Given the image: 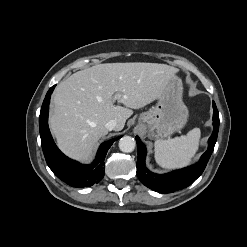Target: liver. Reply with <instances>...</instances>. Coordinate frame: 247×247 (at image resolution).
I'll list each match as a JSON object with an SVG mask.
<instances>
[{
	"mask_svg": "<svg viewBox=\"0 0 247 247\" xmlns=\"http://www.w3.org/2000/svg\"><path fill=\"white\" fill-rule=\"evenodd\" d=\"M178 69L158 63H105L72 74L55 88L49 119L60 150L89 162L105 124L116 120L117 131L139 109L157 99ZM118 101L127 108L114 105Z\"/></svg>",
	"mask_w": 247,
	"mask_h": 247,
	"instance_id": "6515ba94",
	"label": "liver"
}]
</instances>
